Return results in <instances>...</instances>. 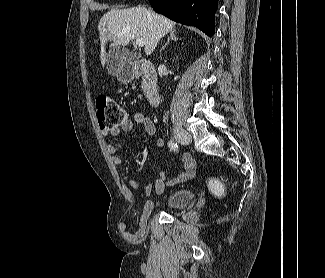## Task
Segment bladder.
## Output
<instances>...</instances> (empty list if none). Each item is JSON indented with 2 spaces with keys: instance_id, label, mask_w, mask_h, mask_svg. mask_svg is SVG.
Masks as SVG:
<instances>
[{
  "instance_id": "1",
  "label": "bladder",
  "mask_w": 325,
  "mask_h": 278,
  "mask_svg": "<svg viewBox=\"0 0 325 278\" xmlns=\"http://www.w3.org/2000/svg\"><path fill=\"white\" fill-rule=\"evenodd\" d=\"M192 199V193L186 188L173 190L165 199L164 207L169 210H177L185 207Z\"/></svg>"
}]
</instances>
